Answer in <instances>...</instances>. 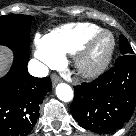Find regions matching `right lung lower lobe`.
Returning <instances> with one entry per match:
<instances>
[{"mask_svg":"<svg viewBox=\"0 0 136 136\" xmlns=\"http://www.w3.org/2000/svg\"><path fill=\"white\" fill-rule=\"evenodd\" d=\"M14 62L0 79V136H26L35 125L39 105L52 89L50 78H36L27 71V51L11 48Z\"/></svg>","mask_w":136,"mask_h":136,"instance_id":"right-lung-lower-lobe-1","label":"right lung lower lobe"}]
</instances>
